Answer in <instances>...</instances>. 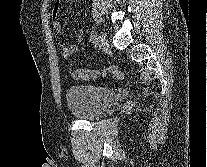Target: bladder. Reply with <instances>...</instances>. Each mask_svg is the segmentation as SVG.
Wrapping results in <instances>:
<instances>
[{
	"label": "bladder",
	"instance_id": "1",
	"mask_svg": "<svg viewBox=\"0 0 207 167\" xmlns=\"http://www.w3.org/2000/svg\"><path fill=\"white\" fill-rule=\"evenodd\" d=\"M66 103L71 115L80 120H95L114 100L108 88L93 85H72L66 92Z\"/></svg>",
	"mask_w": 207,
	"mask_h": 167
}]
</instances>
